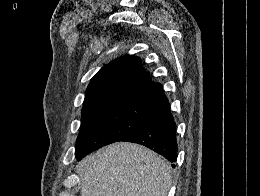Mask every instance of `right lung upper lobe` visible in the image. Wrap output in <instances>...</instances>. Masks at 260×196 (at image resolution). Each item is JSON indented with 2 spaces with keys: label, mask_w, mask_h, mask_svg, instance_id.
Returning <instances> with one entry per match:
<instances>
[{
  "label": "right lung upper lobe",
  "mask_w": 260,
  "mask_h": 196,
  "mask_svg": "<svg viewBox=\"0 0 260 196\" xmlns=\"http://www.w3.org/2000/svg\"><path fill=\"white\" fill-rule=\"evenodd\" d=\"M164 95L153 83L139 57L124 56L102 68L91 80L83 106L131 103L145 107Z\"/></svg>",
  "instance_id": "right-lung-upper-lobe-1"
}]
</instances>
